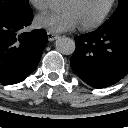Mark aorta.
Returning a JSON list of instances; mask_svg holds the SVG:
<instances>
[{
    "instance_id": "762f6f07",
    "label": "aorta",
    "mask_w": 128,
    "mask_h": 128,
    "mask_svg": "<svg viewBox=\"0 0 128 128\" xmlns=\"http://www.w3.org/2000/svg\"><path fill=\"white\" fill-rule=\"evenodd\" d=\"M56 50L63 55H71L75 51V41L68 37H60L55 42Z\"/></svg>"
}]
</instances>
